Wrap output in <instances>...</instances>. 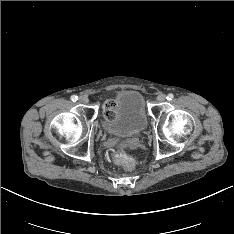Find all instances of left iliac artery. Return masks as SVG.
Wrapping results in <instances>:
<instances>
[{
    "mask_svg": "<svg viewBox=\"0 0 234 234\" xmlns=\"http://www.w3.org/2000/svg\"><path fill=\"white\" fill-rule=\"evenodd\" d=\"M174 98V95L172 94V93H169L168 95H167V99L168 100H172Z\"/></svg>",
    "mask_w": 234,
    "mask_h": 234,
    "instance_id": "left-iliac-artery-1",
    "label": "left iliac artery"
}]
</instances>
